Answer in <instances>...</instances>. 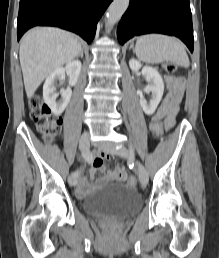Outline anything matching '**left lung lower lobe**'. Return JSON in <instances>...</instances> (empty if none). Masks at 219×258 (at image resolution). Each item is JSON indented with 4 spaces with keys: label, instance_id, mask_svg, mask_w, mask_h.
I'll use <instances>...</instances> for the list:
<instances>
[{
    "label": "left lung lower lobe",
    "instance_id": "1",
    "mask_svg": "<svg viewBox=\"0 0 219 258\" xmlns=\"http://www.w3.org/2000/svg\"><path fill=\"white\" fill-rule=\"evenodd\" d=\"M162 33L179 37L193 52L189 0H131L117 28L120 44L134 36Z\"/></svg>",
    "mask_w": 219,
    "mask_h": 258
}]
</instances>
